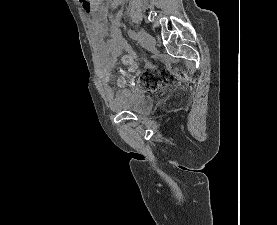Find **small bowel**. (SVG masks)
I'll list each match as a JSON object with an SVG mask.
<instances>
[{"mask_svg": "<svg viewBox=\"0 0 277 225\" xmlns=\"http://www.w3.org/2000/svg\"><path fill=\"white\" fill-rule=\"evenodd\" d=\"M121 2L122 0H111L110 7L101 9L98 14L94 13L92 6L87 8L86 3H83L87 12L91 13L89 28L99 56L105 65V70L103 71L104 91L110 103H115L116 95L114 90L108 84L110 80V71L108 67L113 63L115 58L123 52L135 57L133 50L122 37L119 20L114 19L111 15V10L116 8ZM107 17L111 19L112 25L110 28V39L105 43L104 38L107 33ZM136 68L137 64L134 63L131 67V71H135ZM118 85L119 87L125 86V80L120 78L118 80Z\"/></svg>", "mask_w": 277, "mask_h": 225, "instance_id": "c3829d8e", "label": "small bowel"}]
</instances>
